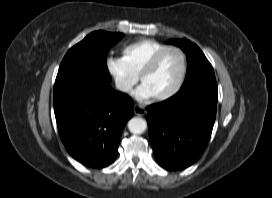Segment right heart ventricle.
I'll list each match as a JSON object with an SVG mask.
<instances>
[{
  "instance_id": "e07e8e85",
  "label": "right heart ventricle",
  "mask_w": 272,
  "mask_h": 198,
  "mask_svg": "<svg viewBox=\"0 0 272 198\" xmlns=\"http://www.w3.org/2000/svg\"><path fill=\"white\" fill-rule=\"evenodd\" d=\"M167 47L166 44L150 38H143L122 48L123 59L137 76L155 53Z\"/></svg>"
}]
</instances>
